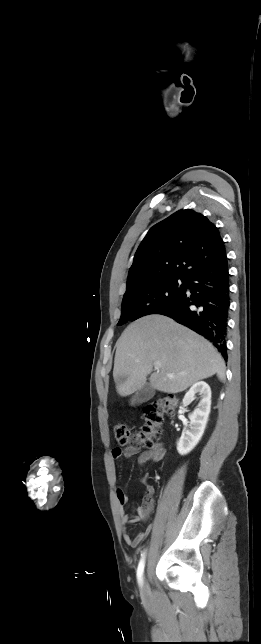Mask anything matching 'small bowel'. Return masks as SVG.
Wrapping results in <instances>:
<instances>
[{"mask_svg": "<svg viewBox=\"0 0 261 644\" xmlns=\"http://www.w3.org/2000/svg\"><path fill=\"white\" fill-rule=\"evenodd\" d=\"M112 457L115 460L121 459V458H130L133 456L138 455V463L139 465H144L148 462H159L161 461L164 456H165V449L164 447L157 443L154 444L152 447L148 448L147 450L142 451L139 447L137 446H128L125 448L121 447H115L112 449ZM146 492L148 495H153L154 494V487L150 484L146 485ZM117 499L119 503V509H120V518H121V525L124 530L123 533V538L125 542L132 546V547H137L139 546L143 540L149 535V533L152 530V524L148 523L144 530L139 532L137 535L134 537L130 536V534L126 531L127 527L131 524L138 523L140 521L145 520L147 516V510L143 506H138L131 512H126L124 510V506L127 503V495L125 494L124 490L122 488H118L117 492Z\"/></svg>", "mask_w": 261, "mask_h": 644, "instance_id": "c3829d8e", "label": "small bowel"}]
</instances>
